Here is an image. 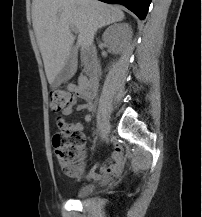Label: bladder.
I'll list each match as a JSON object with an SVG mask.
<instances>
[{
	"label": "bladder",
	"mask_w": 202,
	"mask_h": 217,
	"mask_svg": "<svg viewBox=\"0 0 202 217\" xmlns=\"http://www.w3.org/2000/svg\"><path fill=\"white\" fill-rule=\"evenodd\" d=\"M92 190H93L92 185H89V184L83 185L76 191L75 196L79 199L84 198V197L88 196Z\"/></svg>",
	"instance_id": "obj_1"
}]
</instances>
